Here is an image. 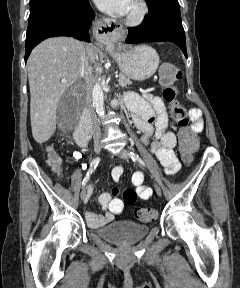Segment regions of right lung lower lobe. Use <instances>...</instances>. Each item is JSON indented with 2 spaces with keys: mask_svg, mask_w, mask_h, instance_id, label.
I'll list each match as a JSON object with an SVG mask.
<instances>
[{
  "mask_svg": "<svg viewBox=\"0 0 240 288\" xmlns=\"http://www.w3.org/2000/svg\"><path fill=\"white\" fill-rule=\"evenodd\" d=\"M94 18L89 0L59 1L30 14L25 45V62L42 40L55 36L90 42L88 30Z\"/></svg>",
  "mask_w": 240,
  "mask_h": 288,
  "instance_id": "right-lung-lower-lobe-1",
  "label": "right lung lower lobe"
}]
</instances>
